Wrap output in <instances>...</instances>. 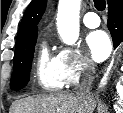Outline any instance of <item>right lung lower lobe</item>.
I'll return each instance as SVG.
<instances>
[{
  "mask_svg": "<svg viewBox=\"0 0 123 113\" xmlns=\"http://www.w3.org/2000/svg\"><path fill=\"white\" fill-rule=\"evenodd\" d=\"M108 2V29L116 48L123 41V1L109 0Z\"/></svg>",
  "mask_w": 123,
  "mask_h": 113,
  "instance_id": "obj_1",
  "label": "right lung lower lobe"
}]
</instances>
